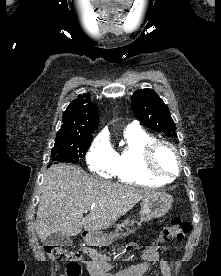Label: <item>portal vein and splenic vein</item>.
<instances>
[{
  "instance_id": "obj_1",
  "label": "portal vein and splenic vein",
  "mask_w": 221,
  "mask_h": 276,
  "mask_svg": "<svg viewBox=\"0 0 221 276\" xmlns=\"http://www.w3.org/2000/svg\"><path fill=\"white\" fill-rule=\"evenodd\" d=\"M88 210L86 209L84 212L86 213Z\"/></svg>"
}]
</instances>
